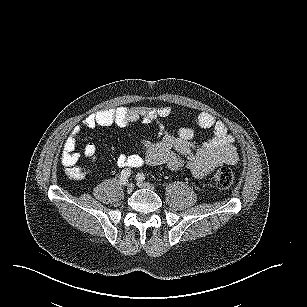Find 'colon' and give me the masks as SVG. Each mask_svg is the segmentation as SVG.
Instances as JSON below:
<instances>
[{"label": "colon", "instance_id": "1", "mask_svg": "<svg viewBox=\"0 0 307 307\" xmlns=\"http://www.w3.org/2000/svg\"><path fill=\"white\" fill-rule=\"evenodd\" d=\"M67 174L74 179H81L87 175V171L75 164L68 166ZM212 181L220 189H228L234 183V174L228 167L217 168L212 174Z\"/></svg>", "mask_w": 307, "mask_h": 307}]
</instances>
